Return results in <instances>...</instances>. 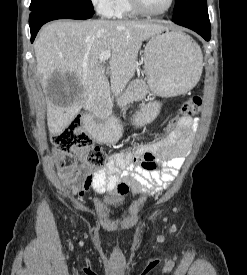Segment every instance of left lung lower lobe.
I'll list each match as a JSON object with an SVG mask.
<instances>
[{"mask_svg": "<svg viewBox=\"0 0 247 275\" xmlns=\"http://www.w3.org/2000/svg\"><path fill=\"white\" fill-rule=\"evenodd\" d=\"M174 23L192 29L201 35L206 41L211 38L209 16L194 17L185 20H172Z\"/></svg>", "mask_w": 247, "mask_h": 275, "instance_id": "0a47b994", "label": "left lung lower lobe"}]
</instances>
